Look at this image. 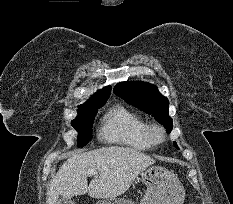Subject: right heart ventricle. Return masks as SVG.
Listing matches in <instances>:
<instances>
[{
	"instance_id": "1",
	"label": "right heart ventricle",
	"mask_w": 233,
	"mask_h": 204,
	"mask_svg": "<svg viewBox=\"0 0 233 204\" xmlns=\"http://www.w3.org/2000/svg\"><path fill=\"white\" fill-rule=\"evenodd\" d=\"M148 127V123L140 115L124 106L116 105L104 115L100 137L108 143L147 151L156 144L149 135Z\"/></svg>"
}]
</instances>
